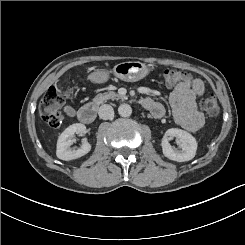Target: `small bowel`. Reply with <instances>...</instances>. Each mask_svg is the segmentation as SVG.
I'll list each match as a JSON object with an SVG mask.
<instances>
[{
  "label": "small bowel",
  "mask_w": 245,
  "mask_h": 245,
  "mask_svg": "<svg viewBox=\"0 0 245 245\" xmlns=\"http://www.w3.org/2000/svg\"><path fill=\"white\" fill-rule=\"evenodd\" d=\"M204 90L201 79L188 75L184 81L175 86L169 97L175 122L192 133L198 132L205 124V117L197 106V101L203 96ZM142 104L156 117H161L165 113L164 106L149 97L143 98ZM64 111L70 117L77 115V111L71 106H66Z\"/></svg>",
  "instance_id": "obj_1"
}]
</instances>
